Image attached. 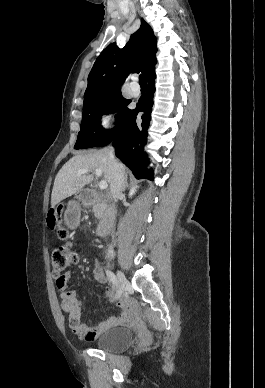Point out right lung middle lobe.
<instances>
[{"mask_svg":"<svg viewBox=\"0 0 265 388\" xmlns=\"http://www.w3.org/2000/svg\"><path fill=\"white\" fill-rule=\"evenodd\" d=\"M129 103L130 100L123 98L120 89L106 90L84 99L81 130L74 148L103 147L111 143L130 112L127 108ZM119 110L116 127L105 130L101 126V116Z\"/></svg>","mask_w":265,"mask_h":388,"instance_id":"obj_1","label":"right lung middle lobe"}]
</instances>
